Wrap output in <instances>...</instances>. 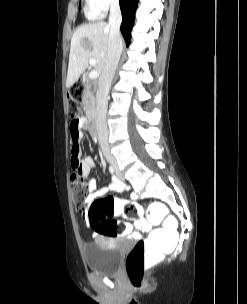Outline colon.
<instances>
[{
    "instance_id": "5ec220e1",
    "label": "colon",
    "mask_w": 247,
    "mask_h": 304,
    "mask_svg": "<svg viewBox=\"0 0 247 304\" xmlns=\"http://www.w3.org/2000/svg\"><path fill=\"white\" fill-rule=\"evenodd\" d=\"M83 85L75 83L68 90V113L72 120H78L82 108ZM76 115V116H75ZM71 191L75 205L85 209L87 197V181L76 170L71 176ZM142 213L140 205L135 202L106 197L94 200L89 208L88 217L91 227L99 234L106 236L128 235L129 229L124 223L112 217L121 215L128 219L139 218ZM150 218L145 219L146 225H153L146 239L138 241L126 259V273L130 284L140 288L144 281L146 267L155 259H162L163 253H173L178 244L177 227L179 221L176 214H171L166 202H150L147 206Z\"/></svg>"
}]
</instances>
